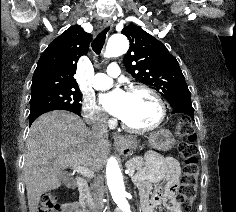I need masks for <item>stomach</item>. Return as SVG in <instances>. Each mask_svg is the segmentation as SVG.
<instances>
[{
	"instance_id": "0dacf381",
	"label": "stomach",
	"mask_w": 236,
	"mask_h": 212,
	"mask_svg": "<svg viewBox=\"0 0 236 212\" xmlns=\"http://www.w3.org/2000/svg\"><path fill=\"white\" fill-rule=\"evenodd\" d=\"M148 142L149 146L154 150L168 151L174 146L175 139L169 130L159 129L149 134ZM139 143L140 140L137 136H129L126 138L123 149L128 153H133Z\"/></svg>"
}]
</instances>
